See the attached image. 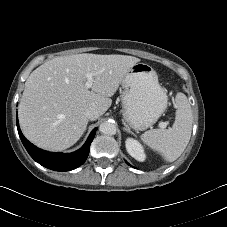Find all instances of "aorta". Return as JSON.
<instances>
[{
    "mask_svg": "<svg viewBox=\"0 0 227 227\" xmlns=\"http://www.w3.org/2000/svg\"><path fill=\"white\" fill-rule=\"evenodd\" d=\"M99 130L101 133L106 135H115L117 131V127L115 122L111 120H107L100 124Z\"/></svg>",
    "mask_w": 227,
    "mask_h": 227,
    "instance_id": "762f6f07",
    "label": "aorta"
}]
</instances>
